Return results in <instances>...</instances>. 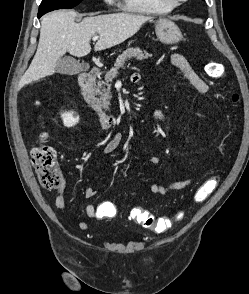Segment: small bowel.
I'll list each match as a JSON object with an SVG mask.
<instances>
[{
    "mask_svg": "<svg viewBox=\"0 0 249 294\" xmlns=\"http://www.w3.org/2000/svg\"><path fill=\"white\" fill-rule=\"evenodd\" d=\"M170 60L173 65L176 66L179 73L182 77L190 83L199 93L206 94L209 90V86L207 83L195 72L191 64L188 60L179 53H171ZM133 82H138L140 80L139 74H133L131 77ZM153 118L158 122H165L166 117L161 110L155 109L152 113ZM100 126L102 123L100 122ZM103 127V126H102ZM104 128V127H103ZM123 140V136L121 133H116L102 148L104 154H111L115 152L121 145ZM161 164V160L158 157H152L150 159V165L154 168L158 167ZM193 182L192 178H187L184 180L169 182L167 184H159L154 182L151 184V192L155 195H167L171 192L179 191L186 188ZM65 191L66 186L64 185L57 192V196L55 198V205L60 210H65L67 208V203L65 200ZM98 190L93 186H88L84 195L87 199H91L96 196ZM113 209V213L109 212V209ZM86 215L90 219H109L113 218L116 215V209L114 205L109 201H102L99 204L89 203L85 207ZM77 227L80 230H86L88 228V224L85 221H78L76 223Z\"/></svg>",
    "mask_w": 249,
    "mask_h": 294,
    "instance_id": "1",
    "label": "small bowel"
}]
</instances>
